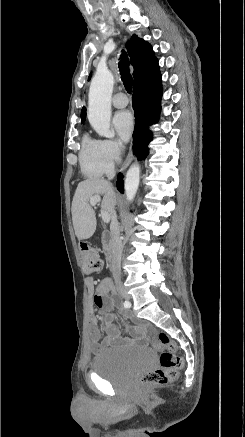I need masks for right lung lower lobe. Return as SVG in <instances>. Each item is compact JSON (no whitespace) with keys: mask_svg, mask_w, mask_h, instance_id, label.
Returning a JSON list of instances; mask_svg holds the SVG:
<instances>
[{"mask_svg":"<svg viewBox=\"0 0 245 437\" xmlns=\"http://www.w3.org/2000/svg\"><path fill=\"white\" fill-rule=\"evenodd\" d=\"M161 76L151 83L134 87L132 106L135 111V129L133 132V150L138 159H143L149 152L148 144L152 140L149 125L157 123L161 110ZM123 176L119 174L118 190L123 193Z\"/></svg>","mask_w":245,"mask_h":437,"instance_id":"1","label":"right lung lower lobe"}]
</instances>
